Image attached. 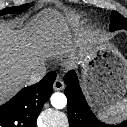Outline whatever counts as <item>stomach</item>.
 <instances>
[{"instance_id":"1","label":"stomach","mask_w":127,"mask_h":127,"mask_svg":"<svg viewBox=\"0 0 127 127\" xmlns=\"http://www.w3.org/2000/svg\"><path fill=\"white\" fill-rule=\"evenodd\" d=\"M82 84L96 107L119 102L127 91V60L113 48L93 39L81 60Z\"/></svg>"}]
</instances>
